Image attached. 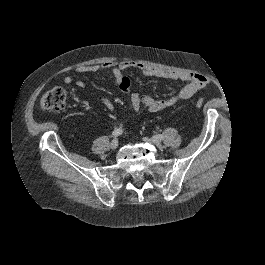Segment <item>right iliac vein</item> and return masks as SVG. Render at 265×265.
Returning <instances> with one entry per match:
<instances>
[{"label":"right iliac vein","instance_id":"right-iliac-vein-1","mask_svg":"<svg viewBox=\"0 0 265 265\" xmlns=\"http://www.w3.org/2000/svg\"><path fill=\"white\" fill-rule=\"evenodd\" d=\"M117 147H118V140L117 139L112 140V142L110 143V148L112 150H116Z\"/></svg>","mask_w":265,"mask_h":265}]
</instances>
